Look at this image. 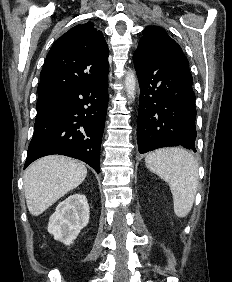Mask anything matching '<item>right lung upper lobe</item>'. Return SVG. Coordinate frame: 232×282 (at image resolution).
Returning a JSON list of instances; mask_svg holds the SVG:
<instances>
[{"instance_id": "right-lung-upper-lobe-1", "label": "right lung upper lobe", "mask_w": 232, "mask_h": 282, "mask_svg": "<svg viewBox=\"0 0 232 282\" xmlns=\"http://www.w3.org/2000/svg\"><path fill=\"white\" fill-rule=\"evenodd\" d=\"M108 46L91 22L79 24L63 34L46 56L38 93L64 97L72 89L108 75Z\"/></svg>"}]
</instances>
